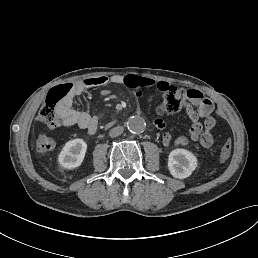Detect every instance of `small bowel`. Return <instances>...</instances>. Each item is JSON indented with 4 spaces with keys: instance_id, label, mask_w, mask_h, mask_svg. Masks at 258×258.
I'll return each instance as SVG.
<instances>
[{
    "instance_id": "c3829d8e",
    "label": "small bowel",
    "mask_w": 258,
    "mask_h": 258,
    "mask_svg": "<svg viewBox=\"0 0 258 258\" xmlns=\"http://www.w3.org/2000/svg\"><path fill=\"white\" fill-rule=\"evenodd\" d=\"M108 84L125 85L132 89H143L155 86L161 92H164L170 85L165 81H155L148 77L138 75H120L114 74L111 76H95L85 78L74 84V96L81 94L83 91L90 88L103 87ZM137 96H141L138 91ZM185 111L190 119L191 126L188 131V136H178L174 144L176 146H187L193 143L196 148L208 149L213 145L212 132L215 127V119L211 116L213 111V103L206 98L203 93L197 89L187 91V101L184 104ZM59 116L64 126H77L81 129H86L90 134H94L98 128V119L87 112L79 111L73 108L72 99L67 101L59 109ZM204 118V125L201 119ZM154 124L163 128L164 124L160 119H156ZM172 142L170 133H164L162 143L165 148H169ZM38 153L45 155L51 152L55 147V142L48 136L42 134L37 141Z\"/></svg>"
}]
</instances>
